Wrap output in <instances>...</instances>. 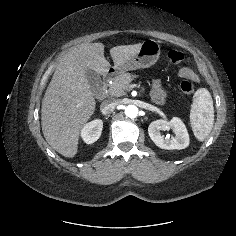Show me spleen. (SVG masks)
Returning a JSON list of instances; mask_svg holds the SVG:
<instances>
[{
  "label": "spleen",
  "mask_w": 236,
  "mask_h": 236,
  "mask_svg": "<svg viewBox=\"0 0 236 236\" xmlns=\"http://www.w3.org/2000/svg\"><path fill=\"white\" fill-rule=\"evenodd\" d=\"M190 123L195 137L204 141L214 124V107L210 92L205 88L198 89L193 96L190 111Z\"/></svg>",
  "instance_id": "obj_1"
}]
</instances>
